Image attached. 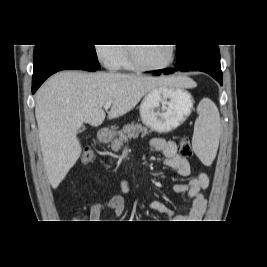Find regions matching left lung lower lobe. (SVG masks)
<instances>
[{"label": "left lung lower lobe", "mask_w": 267, "mask_h": 267, "mask_svg": "<svg viewBox=\"0 0 267 267\" xmlns=\"http://www.w3.org/2000/svg\"><path fill=\"white\" fill-rule=\"evenodd\" d=\"M201 71L211 75L222 85V71L220 66V52L218 45L200 50L191 56L186 63L177 66L175 69H163L151 71L156 75L171 74L174 71Z\"/></svg>", "instance_id": "1"}]
</instances>
